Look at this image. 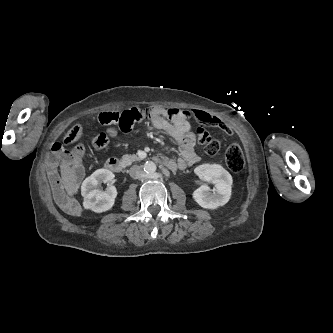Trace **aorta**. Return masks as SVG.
<instances>
[{"mask_svg":"<svg viewBox=\"0 0 333 333\" xmlns=\"http://www.w3.org/2000/svg\"><path fill=\"white\" fill-rule=\"evenodd\" d=\"M144 171L148 174H153L156 171V164L152 161H147L144 166Z\"/></svg>","mask_w":333,"mask_h":333,"instance_id":"1","label":"aorta"}]
</instances>
